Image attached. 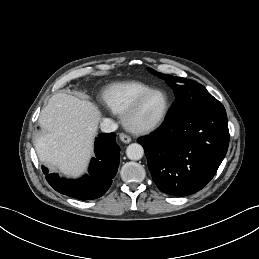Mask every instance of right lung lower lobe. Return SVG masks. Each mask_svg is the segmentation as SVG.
<instances>
[{
	"label": "right lung lower lobe",
	"mask_w": 259,
	"mask_h": 259,
	"mask_svg": "<svg viewBox=\"0 0 259 259\" xmlns=\"http://www.w3.org/2000/svg\"><path fill=\"white\" fill-rule=\"evenodd\" d=\"M115 137V133H101L96 138V158L91 161L90 176L76 181L65 180L57 174H49L47 168L42 167L46 180L59 193L76 199L90 200L102 196L110 187L119 166L120 148Z\"/></svg>",
	"instance_id": "98d812e1"
}]
</instances>
